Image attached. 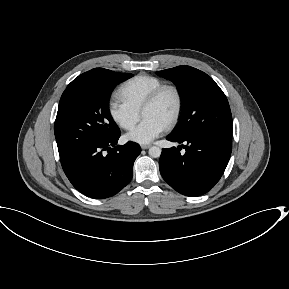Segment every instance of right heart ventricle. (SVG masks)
<instances>
[{
	"label": "right heart ventricle",
	"mask_w": 289,
	"mask_h": 289,
	"mask_svg": "<svg viewBox=\"0 0 289 289\" xmlns=\"http://www.w3.org/2000/svg\"><path fill=\"white\" fill-rule=\"evenodd\" d=\"M164 82L147 74L136 75L125 81L118 89V97L131 108L141 111L146 98Z\"/></svg>",
	"instance_id": "1"
}]
</instances>
